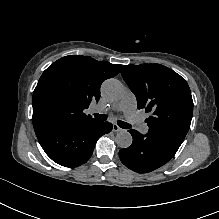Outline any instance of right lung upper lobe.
<instances>
[{"mask_svg":"<svg viewBox=\"0 0 219 219\" xmlns=\"http://www.w3.org/2000/svg\"><path fill=\"white\" fill-rule=\"evenodd\" d=\"M121 65L90 56H65L50 65L33 92V125L95 121L83 111L98 102L100 85L120 71Z\"/></svg>","mask_w":219,"mask_h":219,"instance_id":"obj_1","label":"right lung upper lobe"}]
</instances>
